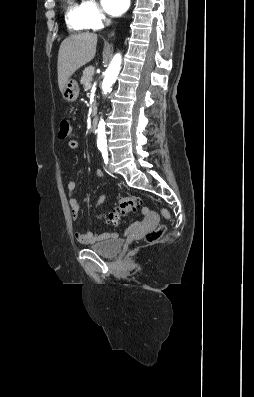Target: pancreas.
Instances as JSON below:
<instances>
[{
    "mask_svg": "<svg viewBox=\"0 0 254 397\" xmlns=\"http://www.w3.org/2000/svg\"><path fill=\"white\" fill-rule=\"evenodd\" d=\"M94 70H95V68L92 65L86 67L83 71L81 78H80V83L87 89L89 88L87 83L91 82Z\"/></svg>",
    "mask_w": 254,
    "mask_h": 397,
    "instance_id": "1",
    "label": "pancreas"
}]
</instances>
